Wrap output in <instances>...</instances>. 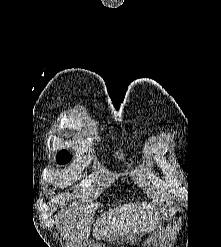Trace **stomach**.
<instances>
[{
	"instance_id": "obj_1",
	"label": "stomach",
	"mask_w": 221,
	"mask_h": 247,
	"mask_svg": "<svg viewBox=\"0 0 221 247\" xmlns=\"http://www.w3.org/2000/svg\"><path fill=\"white\" fill-rule=\"evenodd\" d=\"M138 232H129L123 235H120V237L117 238H111L110 241L113 243H119V244H135L138 240Z\"/></svg>"
}]
</instances>
